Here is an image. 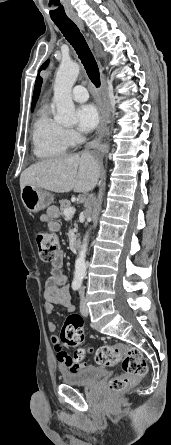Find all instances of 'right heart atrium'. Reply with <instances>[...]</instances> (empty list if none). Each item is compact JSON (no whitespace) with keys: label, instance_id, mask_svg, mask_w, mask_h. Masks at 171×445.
<instances>
[{"label":"right heart atrium","instance_id":"obj_1","mask_svg":"<svg viewBox=\"0 0 171 445\" xmlns=\"http://www.w3.org/2000/svg\"><path fill=\"white\" fill-rule=\"evenodd\" d=\"M66 134H67L70 142H76L80 139L79 134L73 129L66 130Z\"/></svg>","mask_w":171,"mask_h":445}]
</instances>
